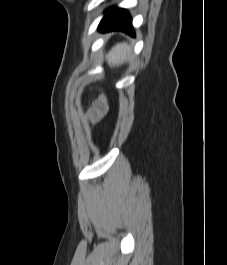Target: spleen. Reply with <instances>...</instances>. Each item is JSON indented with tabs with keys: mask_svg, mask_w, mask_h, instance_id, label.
Here are the masks:
<instances>
[{
	"mask_svg": "<svg viewBox=\"0 0 227 265\" xmlns=\"http://www.w3.org/2000/svg\"><path fill=\"white\" fill-rule=\"evenodd\" d=\"M131 55L130 47L125 43H118L108 54V64L119 66Z\"/></svg>",
	"mask_w": 227,
	"mask_h": 265,
	"instance_id": "1",
	"label": "spleen"
}]
</instances>
